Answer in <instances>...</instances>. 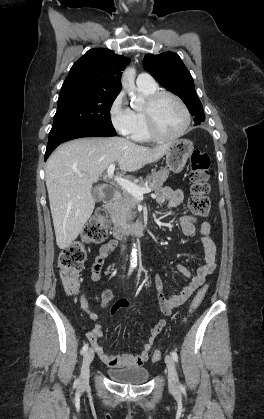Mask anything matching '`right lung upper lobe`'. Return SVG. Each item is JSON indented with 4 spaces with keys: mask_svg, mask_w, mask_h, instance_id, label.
<instances>
[{
    "mask_svg": "<svg viewBox=\"0 0 264 419\" xmlns=\"http://www.w3.org/2000/svg\"><path fill=\"white\" fill-rule=\"evenodd\" d=\"M129 62V58L109 49H91L73 64L62 87L80 85L94 91L119 94L121 71Z\"/></svg>",
    "mask_w": 264,
    "mask_h": 419,
    "instance_id": "obj_1",
    "label": "right lung upper lobe"
}]
</instances>
